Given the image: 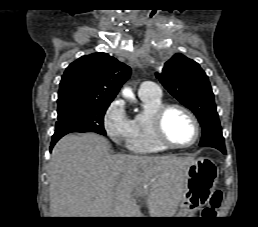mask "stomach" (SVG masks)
I'll return each mask as SVG.
<instances>
[{
	"mask_svg": "<svg viewBox=\"0 0 258 227\" xmlns=\"http://www.w3.org/2000/svg\"><path fill=\"white\" fill-rule=\"evenodd\" d=\"M218 172L216 164L208 158L197 159L187 166L180 209L174 217H190L188 215L209 201L218 181Z\"/></svg>",
	"mask_w": 258,
	"mask_h": 227,
	"instance_id": "1",
	"label": "stomach"
}]
</instances>
